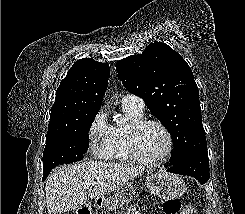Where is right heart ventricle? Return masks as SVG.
I'll list each match as a JSON object with an SVG mask.
<instances>
[{"instance_id":"e07e8e85","label":"right heart ventricle","mask_w":245,"mask_h":214,"mask_svg":"<svg viewBox=\"0 0 245 214\" xmlns=\"http://www.w3.org/2000/svg\"><path fill=\"white\" fill-rule=\"evenodd\" d=\"M123 111L130 122L141 120L143 111H140L129 104H122ZM113 127V137L110 157L120 161H133L134 159L129 153L126 142V126L115 125Z\"/></svg>"}]
</instances>
